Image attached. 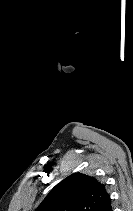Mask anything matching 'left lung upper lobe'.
Returning <instances> with one entry per match:
<instances>
[{"label": "left lung upper lobe", "instance_id": "obj_1", "mask_svg": "<svg viewBox=\"0 0 133 211\" xmlns=\"http://www.w3.org/2000/svg\"><path fill=\"white\" fill-rule=\"evenodd\" d=\"M109 198L94 177L74 173L58 183L35 211H95Z\"/></svg>", "mask_w": 133, "mask_h": 211}]
</instances>
